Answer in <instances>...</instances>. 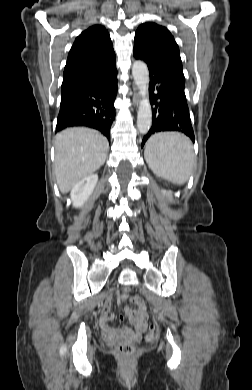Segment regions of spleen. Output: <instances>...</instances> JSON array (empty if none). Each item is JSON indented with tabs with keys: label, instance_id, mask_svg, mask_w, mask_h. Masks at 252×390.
Segmentation results:
<instances>
[{
	"label": "spleen",
	"instance_id": "spleen-1",
	"mask_svg": "<svg viewBox=\"0 0 252 390\" xmlns=\"http://www.w3.org/2000/svg\"><path fill=\"white\" fill-rule=\"evenodd\" d=\"M144 156L154 174L179 185L188 179L194 162L191 141L175 132L152 136Z\"/></svg>",
	"mask_w": 252,
	"mask_h": 390
}]
</instances>
